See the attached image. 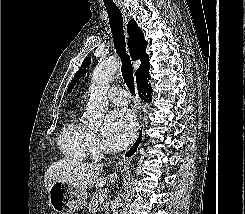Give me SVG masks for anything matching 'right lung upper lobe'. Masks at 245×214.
Wrapping results in <instances>:
<instances>
[{
  "label": "right lung upper lobe",
  "instance_id": "right-lung-upper-lobe-1",
  "mask_svg": "<svg viewBox=\"0 0 245 214\" xmlns=\"http://www.w3.org/2000/svg\"><path fill=\"white\" fill-rule=\"evenodd\" d=\"M128 48L133 61L141 60V65L136 71V81L139 80L145 73L149 72V57L146 54L147 41L144 39L142 30L138 27L135 21H130L127 26Z\"/></svg>",
  "mask_w": 245,
  "mask_h": 214
}]
</instances>
